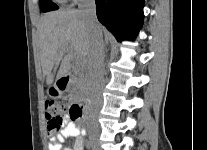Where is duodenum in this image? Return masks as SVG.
Here are the masks:
<instances>
[{
    "instance_id": "1",
    "label": "duodenum",
    "mask_w": 207,
    "mask_h": 150,
    "mask_svg": "<svg viewBox=\"0 0 207 150\" xmlns=\"http://www.w3.org/2000/svg\"><path fill=\"white\" fill-rule=\"evenodd\" d=\"M70 79H71V76L69 74L63 75L59 80L60 86L66 87L68 85V83L70 82ZM75 108L79 112L81 117H86L87 116L88 110L84 105L77 104V105H75Z\"/></svg>"
}]
</instances>
